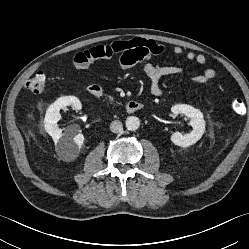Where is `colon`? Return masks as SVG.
Listing matches in <instances>:
<instances>
[{
    "mask_svg": "<svg viewBox=\"0 0 249 249\" xmlns=\"http://www.w3.org/2000/svg\"><path fill=\"white\" fill-rule=\"evenodd\" d=\"M26 88L35 94L43 93L46 88V76L43 73L35 74L27 81ZM231 108L235 114L241 115L245 111V104L242 99L235 98L232 100Z\"/></svg>",
    "mask_w": 249,
    "mask_h": 249,
    "instance_id": "5ec220e1",
    "label": "colon"
}]
</instances>
